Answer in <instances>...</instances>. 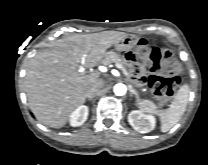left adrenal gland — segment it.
I'll return each instance as SVG.
<instances>
[{"instance_id":"obj_1","label":"left adrenal gland","mask_w":208,"mask_h":165,"mask_svg":"<svg viewBox=\"0 0 208 165\" xmlns=\"http://www.w3.org/2000/svg\"><path fill=\"white\" fill-rule=\"evenodd\" d=\"M130 93H131V96H135L136 97V100L138 101L139 100V95L138 93L132 88L130 87Z\"/></svg>"}]
</instances>
